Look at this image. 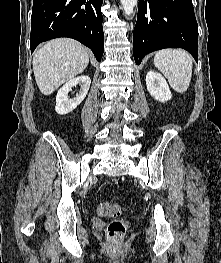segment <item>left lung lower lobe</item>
<instances>
[{
    "label": "left lung lower lobe",
    "instance_id": "left-lung-lower-lobe-1",
    "mask_svg": "<svg viewBox=\"0 0 221 263\" xmlns=\"http://www.w3.org/2000/svg\"><path fill=\"white\" fill-rule=\"evenodd\" d=\"M133 45L138 65L145 55L163 48H183L198 62L192 0H139Z\"/></svg>",
    "mask_w": 221,
    "mask_h": 263
}]
</instances>
